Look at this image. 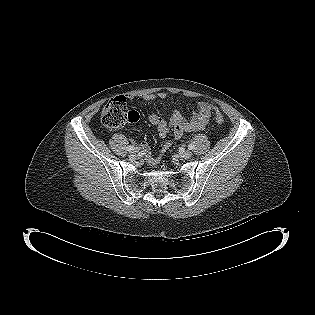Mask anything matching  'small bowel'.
Listing matches in <instances>:
<instances>
[{
	"label": "small bowel",
	"mask_w": 315,
	"mask_h": 315,
	"mask_svg": "<svg viewBox=\"0 0 315 315\" xmlns=\"http://www.w3.org/2000/svg\"><path fill=\"white\" fill-rule=\"evenodd\" d=\"M168 97L167 93H148L142 96L145 102L155 101L156 99L164 100ZM212 114V108L209 102H200L194 111L190 119H185L179 111H174L170 120L167 121L157 114H150L149 121L153 124L160 137L165 138L171 136L173 138H180L183 134L189 132H195L203 129L209 122ZM168 148V144H165L162 151ZM150 165H156L160 160V154L150 155L147 157Z\"/></svg>",
	"instance_id": "obj_1"
}]
</instances>
